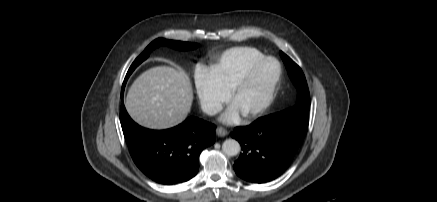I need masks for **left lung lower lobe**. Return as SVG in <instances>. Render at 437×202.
Segmentation results:
<instances>
[{
	"mask_svg": "<svg viewBox=\"0 0 437 202\" xmlns=\"http://www.w3.org/2000/svg\"><path fill=\"white\" fill-rule=\"evenodd\" d=\"M308 129V112L292 107L276 112L231 134L242 153L233 168L252 183L269 182L280 176L292 162Z\"/></svg>",
	"mask_w": 437,
	"mask_h": 202,
	"instance_id": "0a47b994",
	"label": "left lung lower lobe"
}]
</instances>
